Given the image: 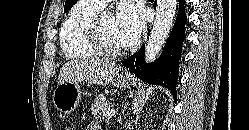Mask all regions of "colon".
Wrapping results in <instances>:
<instances>
[{
	"mask_svg": "<svg viewBox=\"0 0 249 130\" xmlns=\"http://www.w3.org/2000/svg\"><path fill=\"white\" fill-rule=\"evenodd\" d=\"M63 130H74V128L71 127V126H66V127L63 128Z\"/></svg>",
	"mask_w": 249,
	"mask_h": 130,
	"instance_id": "1",
	"label": "colon"
}]
</instances>
